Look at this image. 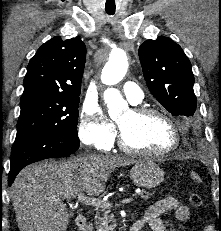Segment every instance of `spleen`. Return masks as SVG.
Here are the masks:
<instances>
[{"label":"spleen","instance_id":"spleen-1","mask_svg":"<svg viewBox=\"0 0 221 231\" xmlns=\"http://www.w3.org/2000/svg\"><path fill=\"white\" fill-rule=\"evenodd\" d=\"M192 175L195 177V174H194V173H192Z\"/></svg>","mask_w":221,"mask_h":231}]
</instances>
